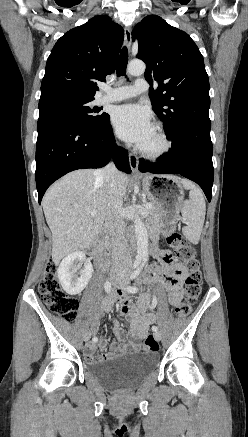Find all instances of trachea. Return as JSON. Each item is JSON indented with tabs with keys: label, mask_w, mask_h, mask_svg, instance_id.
<instances>
[{
	"label": "trachea",
	"mask_w": 248,
	"mask_h": 437,
	"mask_svg": "<svg viewBox=\"0 0 248 437\" xmlns=\"http://www.w3.org/2000/svg\"><path fill=\"white\" fill-rule=\"evenodd\" d=\"M128 63V50L127 47H123L120 53L118 65H117V76H125L126 75V67Z\"/></svg>",
	"instance_id": "obj_1"
}]
</instances>
